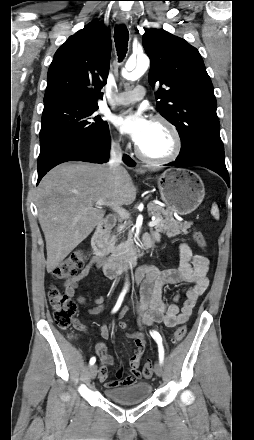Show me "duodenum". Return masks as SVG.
Masks as SVG:
<instances>
[{"label":"duodenum","instance_id":"410a0bca","mask_svg":"<svg viewBox=\"0 0 254 440\" xmlns=\"http://www.w3.org/2000/svg\"><path fill=\"white\" fill-rule=\"evenodd\" d=\"M115 224L116 217L108 215L97 225L96 231L91 238L93 252L101 260L103 271L108 278H114L122 271L136 264L140 251L152 245L150 239H141L138 246L127 252L123 257L110 258L109 250L105 243V236Z\"/></svg>","mask_w":254,"mask_h":440}]
</instances>
